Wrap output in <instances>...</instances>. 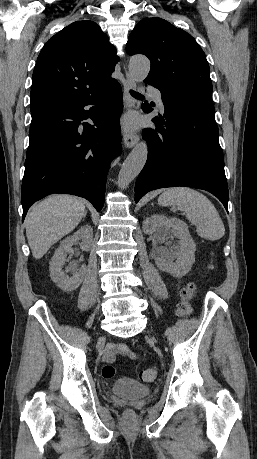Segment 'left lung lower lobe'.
Masks as SVG:
<instances>
[{
	"label": "left lung lower lobe",
	"instance_id": "obj_1",
	"mask_svg": "<svg viewBox=\"0 0 257 459\" xmlns=\"http://www.w3.org/2000/svg\"><path fill=\"white\" fill-rule=\"evenodd\" d=\"M160 91L165 113L152 119L156 129L143 130L148 157L135 184V202L153 189L187 186L209 191L228 211L224 159L211 93ZM142 108L152 111L147 104Z\"/></svg>",
	"mask_w": 257,
	"mask_h": 459
}]
</instances>
